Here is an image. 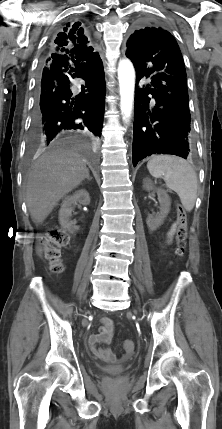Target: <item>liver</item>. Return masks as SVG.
I'll return each mask as SVG.
<instances>
[{
    "label": "liver",
    "instance_id": "liver-1",
    "mask_svg": "<svg viewBox=\"0 0 222 429\" xmlns=\"http://www.w3.org/2000/svg\"><path fill=\"white\" fill-rule=\"evenodd\" d=\"M89 173L86 160L72 150H52L31 166L26 179V203L32 221L42 223L61 198Z\"/></svg>",
    "mask_w": 222,
    "mask_h": 429
}]
</instances>
